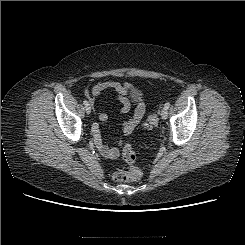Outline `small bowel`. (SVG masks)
Masks as SVG:
<instances>
[{"instance_id":"obj_1","label":"small bowel","mask_w":245,"mask_h":245,"mask_svg":"<svg viewBox=\"0 0 245 245\" xmlns=\"http://www.w3.org/2000/svg\"><path fill=\"white\" fill-rule=\"evenodd\" d=\"M110 89L114 90L117 93V99L122 104L120 113H127L131 108L130 101L126 97L127 93L132 89V85L129 83L121 84L114 81H107L94 85L90 91V96H89L90 104L93 106L94 97L99 96L103 92ZM144 114H145V103L142 99L139 98L137 99L133 115L123 124V128H122L123 134L130 135L134 131L136 126L139 124V122L142 120ZM98 117L101 121L107 120V115L103 112H98ZM93 138H94V144L102 156L109 159H114L118 156L119 149L117 147V144H114L112 146L104 145L101 139L100 128L98 126H94L93 128Z\"/></svg>"}]
</instances>
